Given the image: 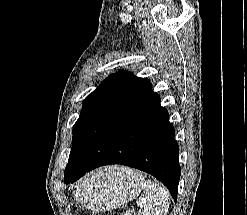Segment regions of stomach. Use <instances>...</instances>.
<instances>
[{
    "label": "stomach",
    "instance_id": "obj_1",
    "mask_svg": "<svg viewBox=\"0 0 247 215\" xmlns=\"http://www.w3.org/2000/svg\"><path fill=\"white\" fill-rule=\"evenodd\" d=\"M124 167L103 168L88 176L79 186L76 199L90 210H110L133 199L142 188L141 175Z\"/></svg>",
    "mask_w": 247,
    "mask_h": 215
}]
</instances>
